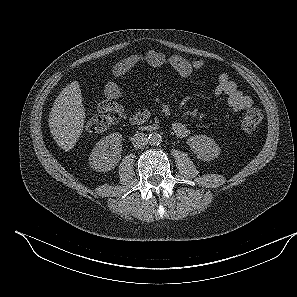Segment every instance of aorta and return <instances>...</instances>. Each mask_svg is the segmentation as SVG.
<instances>
[{"mask_svg":"<svg viewBox=\"0 0 297 297\" xmlns=\"http://www.w3.org/2000/svg\"><path fill=\"white\" fill-rule=\"evenodd\" d=\"M148 142L152 146L159 145L162 141V136L157 132H152L148 136Z\"/></svg>","mask_w":297,"mask_h":297,"instance_id":"aorta-1","label":"aorta"}]
</instances>
